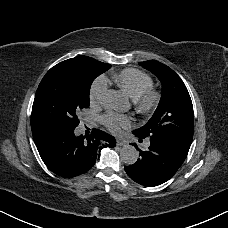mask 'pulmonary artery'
I'll list each match as a JSON object with an SVG mask.
<instances>
[{
  "instance_id": "obj_1",
  "label": "pulmonary artery",
  "mask_w": 228,
  "mask_h": 228,
  "mask_svg": "<svg viewBox=\"0 0 228 228\" xmlns=\"http://www.w3.org/2000/svg\"><path fill=\"white\" fill-rule=\"evenodd\" d=\"M147 146L149 145V142H147V144H146Z\"/></svg>"
}]
</instances>
